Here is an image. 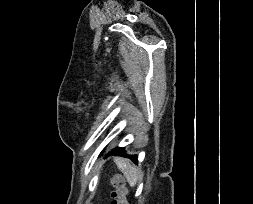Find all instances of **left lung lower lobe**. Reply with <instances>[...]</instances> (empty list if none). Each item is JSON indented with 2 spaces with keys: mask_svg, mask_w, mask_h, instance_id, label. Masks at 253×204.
Segmentation results:
<instances>
[{
  "mask_svg": "<svg viewBox=\"0 0 253 204\" xmlns=\"http://www.w3.org/2000/svg\"><path fill=\"white\" fill-rule=\"evenodd\" d=\"M109 155H118V156L124 155V156H127V155L125 154L124 148H116V149L112 150L107 156H109ZM129 158H130L134 163H137V160H138V156H137V155L129 156Z\"/></svg>",
  "mask_w": 253,
  "mask_h": 204,
  "instance_id": "obj_1",
  "label": "left lung lower lobe"
}]
</instances>
